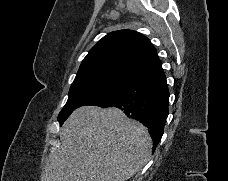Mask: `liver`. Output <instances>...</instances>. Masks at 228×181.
Here are the masks:
<instances>
[{"instance_id":"6515ba94","label":"liver","mask_w":228,"mask_h":181,"mask_svg":"<svg viewBox=\"0 0 228 181\" xmlns=\"http://www.w3.org/2000/svg\"><path fill=\"white\" fill-rule=\"evenodd\" d=\"M59 135L43 181H128L148 163L153 145L146 127L116 107H80Z\"/></svg>"}]
</instances>
